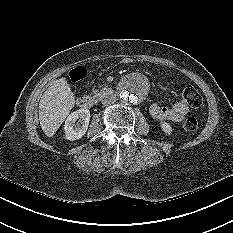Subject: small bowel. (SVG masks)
<instances>
[{"mask_svg": "<svg viewBox=\"0 0 233 233\" xmlns=\"http://www.w3.org/2000/svg\"><path fill=\"white\" fill-rule=\"evenodd\" d=\"M150 114L157 121L181 122L189 113L184 99H180L172 106H161L154 103L150 106Z\"/></svg>", "mask_w": 233, "mask_h": 233, "instance_id": "obj_1", "label": "small bowel"}]
</instances>
